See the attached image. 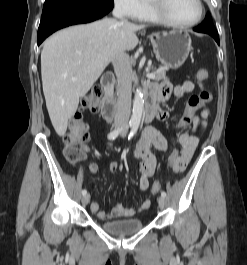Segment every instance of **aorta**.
Returning a JSON list of instances; mask_svg holds the SVG:
<instances>
[{
	"label": "aorta",
	"instance_id": "obj_1",
	"mask_svg": "<svg viewBox=\"0 0 247 265\" xmlns=\"http://www.w3.org/2000/svg\"><path fill=\"white\" fill-rule=\"evenodd\" d=\"M144 107L143 93L141 89H137L133 100V111L130 118L132 126H138L141 121Z\"/></svg>",
	"mask_w": 247,
	"mask_h": 265
}]
</instances>
